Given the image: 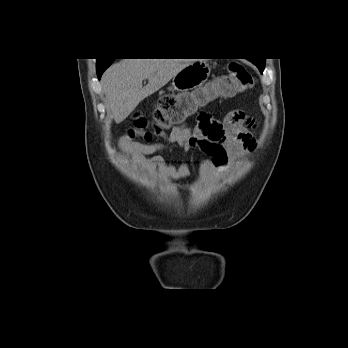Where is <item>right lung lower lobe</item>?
Masks as SVG:
<instances>
[{
  "instance_id": "right-lung-lower-lobe-1",
  "label": "right lung lower lobe",
  "mask_w": 348,
  "mask_h": 348,
  "mask_svg": "<svg viewBox=\"0 0 348 348\" xmlns=\"http://www.w3.org/2000/svg\"><path fill=\"white\" fill-rule=\"evenodd\" d=\"M106 68H107L106 66H97V75L99 79L101 78V75Z\"/></svg>"
}]
</instances>
